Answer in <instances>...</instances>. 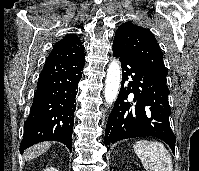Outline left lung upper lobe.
Segmentation results:
<instances>
[{"mask_svg": "<svg viewBox=\"0 0 199 171\" xmlns=\"http://www.w3.org/2000/svg\"><path fill=\"white\" fill-rule=\"evenodd\" d=\"M113 45L161 76H167L163 55L154 35L146 28L126 22L116 31Z\"/></svg>", "mask_w": 199, "mask_h": 171, "instance_id": "1", "label": "left lung upper lobe"}]
</instances>
